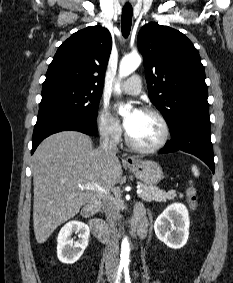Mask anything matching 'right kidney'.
<instances>
[{
    "label": "right kidney",
    "mask_w": 233,
    "mask_h": 283,
    "mask_svg": "<svg viewBox=\"0 0 233 283\" xmlns=\"http://www.w3.org/2000/svg\"><path fill=\"white\" fill-rule=\"evenodd\" d=\"M73 233H78V240L73 241ZM90 236L89 227L79 221L65 224L57 237V256L64 264L75 263L83 254L88 245Z\"/></svg>",
    "instance_id": "right-kidney-1"
}]
</instances>
